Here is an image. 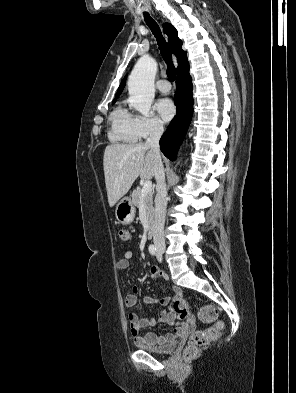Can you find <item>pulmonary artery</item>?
Here are the masks:
<instances>
[{
    "instance_id": "e3ab8cb5",
    "label": "pulmonary artery",
    "mask_w": 296,
    "mask_h": 393,
    "mask_svg": "<svg viewBox=\"0 0 296 393\" xmlns=\"http://www.w3.org/2000/svg\"><path fill=\"white\" fill-rule=\"evenodd\" d=\"M156 87L162 93H168L171 90V84L166 79L158 80L156 83Z\"/></svg>"
}]
</instances>
